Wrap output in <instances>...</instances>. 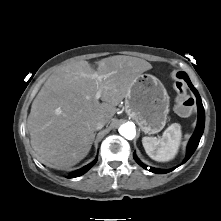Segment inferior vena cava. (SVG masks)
Masks as SVG:
<instances>
[{
  "label": "inferior vena cava",
  "mask_w": 221,
  "mask_h": 221,
  "mask_svg": "<svg viewBox=\"0 0 221 221\" xmlns=\"http://www.w3.org/2000/svg\"><path fill=\"white\" fill-rule=\"evenodd\" d=\"M104 124L105 123L102 120H94L91 126L94 130H100L103 128Z\"/></svg>",
  "instance_id": "inferior-vena-cava-1"
}]
</instances>
